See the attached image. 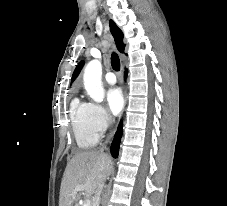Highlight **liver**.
<instances>
[{
  "label": "liver",
  "instance_id": "obj_1",
  "mask_svg": "<svg viewBox=\"0 0 227 206\" xmlns=\"http://www.w3.org/2000/svg\"><path fill=\"white\" fill-rule=\"evenodd\" d=\"M112 159L101 151H85L76 154L68 163L60 188L59 206H78L80 192L91 196L99 184L110 174ZM84 190H77L78 186Z\"/></svg>",
  "mask_w": 227,
  "mask_h": 206
}]
</instances>
